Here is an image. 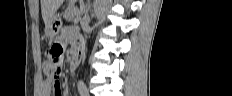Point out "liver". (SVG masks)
I'll use <instances>...</instances> for the list:
<instances>
[{
  "mask_svg": "<svg viewBox=\"0 0 232 96\" xmlns=\"http://www.w3.org/2000/svg\"><path fill=\"white\" fill-rule=\"evenodd\" d=\"M63 0H41V12L45 26L50 22Z\"/></svg>",
  "mask_w": 232,
  "mask_h": 96,
  "instance_id": "1",
  "label": "liver"
}]
</instances>
